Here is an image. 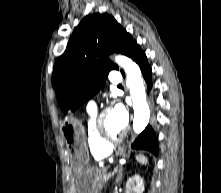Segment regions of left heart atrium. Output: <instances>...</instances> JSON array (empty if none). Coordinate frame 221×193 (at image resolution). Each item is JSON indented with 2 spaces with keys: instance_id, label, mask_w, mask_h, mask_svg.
<instances>
[{
  "instance_id": "39dd6f15",
  "label": "left heart atrium",
  "mask_w": 221,
  "mask_h": 193,
  "mask_svg": "<svg viewBox=\"0 0 221 193\" xmlns=\"http://www.w3.org/2000/svg\"><path fill=\"white\" fill-rule=\"evenodd\" d=\"M112 113L119 124L125 128L128 123V112L124 105H122L121 103L116 104L112 109Z\"/></svg>"
}]
</instances>
